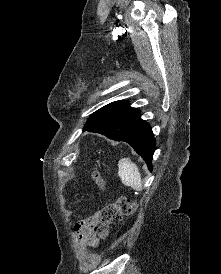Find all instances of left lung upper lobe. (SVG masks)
Masks as SVG:
<instances>
[{"label":"left lung upper lobe","instance_id":"5c2ea615","mask_svg":"<svg viewBox=\"0 0 221 274\" xmlns=\"http://www.w3.org/2000/svg\"><path fill=\"white\" fill-rule=\"evenodd\" d=\"M94 119H95V117H94V114H93V115L87 120L86 125L84 126V129L87 128V127H89V126L92 124V122L94 121Z\"/></svg>","mask_w":221,"mask_h":274}]
</instances>
